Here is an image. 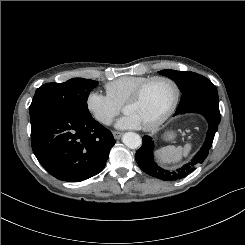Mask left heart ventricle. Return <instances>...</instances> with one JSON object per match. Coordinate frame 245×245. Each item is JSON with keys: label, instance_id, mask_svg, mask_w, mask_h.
<instances>
[{"label": "left heart ventricle", "instance_id": "b2bd125f", "mask_svg": "<svg viewBox=\"0 0 245 245\" xmlns=\"http://www.w3.org/2000/svg\"><path fill=\"white\" fill-rule=\"evenodd\" d=\"M174 88L165 81L149 84L140 99L125 107L126 114L134 115L142 127L159 120L169 110L174 100Z\"/></svg>", "mask_w": 245, "mask_h": 245}]
</instances>
